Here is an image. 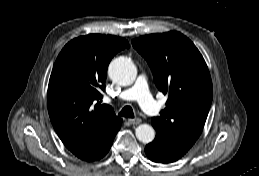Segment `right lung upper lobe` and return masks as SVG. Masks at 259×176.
Returning a JSON list of instances; mask_svg holds the SVG:
<instances>
[{"mask_svg": "<svg viewBox=\"0 0 259 176\" xmlns=\"http://www.w3.org/2000/svg\"><path fill=\"white\" fill-rule=\"evenodd\" d=\"M129 48L127 40L90 34L71 40L54 64L47 104L51 123L64 145L85 160L121 127L109 105H100L107 68L113 56Z\"/></svg>", "mask_w": 259, "mask_h": 176, "instance_id": "obj_1", "label": "right lung upper lobe"}]
</instances>
